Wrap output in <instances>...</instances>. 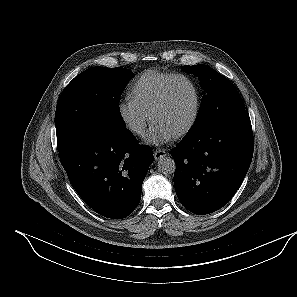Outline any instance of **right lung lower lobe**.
I'll return each mask as SVG.
<instances>
[{"label": "right lung lower lobe", "instance_id": "98d812e1", "mask_svg": "<svg viewBox=\"0 0 297 297\" xmlns=\"http://www.w3.org/2000/svg\"><path fill=\"white\" fill-rule=\"evenodd\" d=\"M153 152L126 128L87 130L63 152L60 161L82 200L98 214L127 217L138 206Z\"/></svg>", "mask_w": 297, "mask_h": 297}]
</instances>
